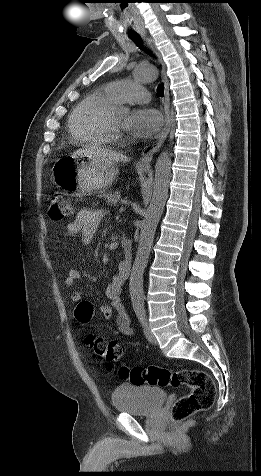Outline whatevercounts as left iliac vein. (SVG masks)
<instances>
[{
    "label": "left iliac vein",
    "mask_w": 261,
    "mask_h": 476,
    "mask_svg": "<svg viewBox=\"0 0 261 476\" xmlns=\"http://www.w3.org/2000/svg\"><path fill=\"white\" fill-rule=\"evenodd\" d=\"M144 334H145V337L146 339L152 343V344H156L157 343V340H156V337L155 335L152 333L151 329H150V326L148 324L147 321H145L144 323Z\"/></svg>",
    "instance_id": "left-iliac-vein-1"
}]
</instances>
